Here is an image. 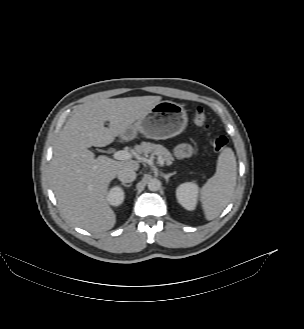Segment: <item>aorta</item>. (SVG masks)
<instances>
[{
    "mask_svg": "<svg viewBox=\"0 0 304 329\" xmlns=\"http://www.w3.org/2000/svg\"><path fill=\"white\" fill-rule=\"evenodd\" d=\"M161 186V182L157 178H151L148 181V189L150 191H157Z\"/></svg>",
    "mask_w": 304,
    "mask_h": 329,
    "instance_id": "obj_1",
    "label": "aorta"
}]
</instances>
